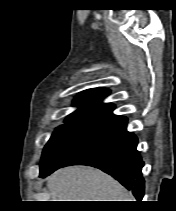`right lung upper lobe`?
<instances>
[{
  "mask_svg": "<svg viewBox=\"0 0 176 211\" xmlns=\"http://www.w3.org/2000/svg\"><path fill=\"white\" fill-rule=\"evenodd\" d=\"M109 93L110 91L104 88L88 89L80 92L74 99V105L78 106V109L70 114L67 119L98 125L118 117L112 114L115 107L113 104L102 102Z\"/></svg>",
  "mask_w": 176,
  "mask_h": 211,
  "instance_id": "cb5924a9",
  "label": "right lung upper lobe"
}]
</instances>
